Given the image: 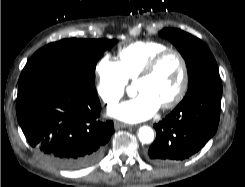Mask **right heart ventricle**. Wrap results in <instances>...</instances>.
<instances>
[{"label":"right heart ventricle","mask_w":245,"mask_h":187,"mask_svg":"<svg viewBox=\"0 0 245 187\" xmlns=\"http://www.w3.org/2000/svg\"><path fill=\"white\" fill-rule=\"evenodd\" d=\"M168 48L159 41L139 40L122 45L117 50V62L128 81L138 76L147 61L156 53Z\"/></svg>","instance_id":"obj_1"}]
</instances>
